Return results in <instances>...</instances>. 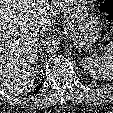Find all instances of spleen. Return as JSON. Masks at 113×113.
Here are the masks:
<instances>
[{
    "mask_svg": "<svg viewBox=\"0 0 113 113\" xmlns=\"http://www.w3.org/2000/svg\"><path fill=\"white\" fill-rule=\"evenodd\" d=\"M83 69L95 80H113V42L104 47L102 55L85 57L81 60Z\"/></svg>",
    "mask_w": 113,
    "mask_h": 113,
    "instance_id": "obj_1",
    "label": "spleen"
}]
</instances>
